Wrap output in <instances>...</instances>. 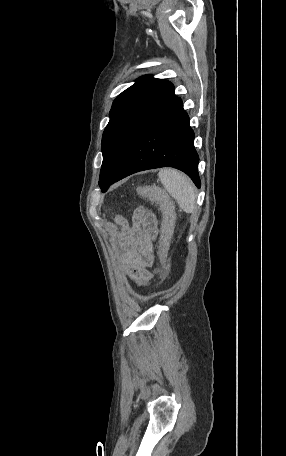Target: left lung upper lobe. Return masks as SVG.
Listing matches in <instances>:
<instances>
[{
	"mask_svg": "<svg viewBox=\"0 0 286 456\" xmlns=\"http://www.w3.org/2000/svg\"><path fill=\"white\" fill-rule=\"evenodd\" d=\"M176 99L174 86L165 79L142 76L112 104L101 150L103 163L99 186L105 192L139 133Z\"/></svg>",
	"mask_w": 286,
	"mask_h": 456,
	"instance_id": "left-lung-upper-lobe-1",
	"label": "left lung upper lobe"
}]
</instances>
